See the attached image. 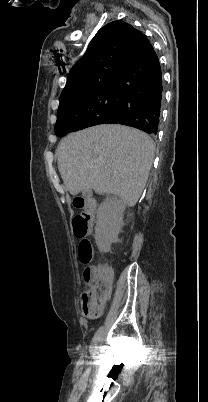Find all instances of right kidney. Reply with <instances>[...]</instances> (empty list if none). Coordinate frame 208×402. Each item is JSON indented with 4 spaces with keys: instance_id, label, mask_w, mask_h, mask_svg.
Wrapping results in <instances>:
<instances>
[{
    "instance_id": "1",
    "label": "right kidney",
    "mask_w": 208,
    "mask_h": 402,
    "mask_svg": "<svg viewBox=\"0 0 208 402\" xmlns=\"http://www.w3.org/2000/svg\"><path fill=\"white\" fill-rule=\"evenodd\" d=\"M125 204L122 200L108 196L97 210L95 240L100 252H109L110 244L117 242L123 224Z\"/></svg>"
}]
</instances>
